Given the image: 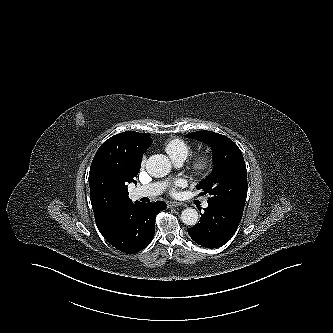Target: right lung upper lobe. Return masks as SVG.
I'll list each match as a JSON object with an SVG mask.
<instances>
[{"instance_id": "cb5924a9", "label": "right lung upper lobe", "mask_w": 333, "mask_h": 333, "mask_svg": "<svg viewBox=\"0 0 333 333\" xmlns=\"http://www.w3.org/2000/svg\"><path fill=\"white\" fill-rule=\"evenodd\" d=\"M150 134L127 131L106 140L97 150L89 172L90 199L96 225L102 235L112 227L120 211L132 201L127 184L136 182Z\"/></svg>"}]
</instances>
